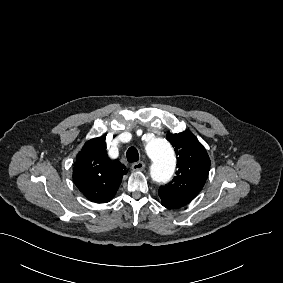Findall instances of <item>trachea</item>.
<instances>
[{"label": "trachea", "mask_w": 283, "mask_h": 283, "mask_svg": "<svg viewBox=\"0 0 283 283\" xmlns=\"http://www.w3.org/2000/svg\"><path fill=\"white\" fill-rule=\"evenodd\" d=\"M126 157L128 162L133 163L139 160V153L135 147H130L127 150Z\"/></svg>", "instance_id": "obj_1"}]
</instances>
